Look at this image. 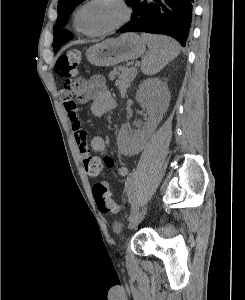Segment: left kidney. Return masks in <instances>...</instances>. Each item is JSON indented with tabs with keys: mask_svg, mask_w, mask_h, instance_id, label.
<instances>
[{
	"mask_svg": "<svg viewBox=\"0 0 245 300\" xmlns=\"http://www.w3.org/2000/svg\"><path fill=\"white\" fill-rule=\"evenodd\" d=\"M136 100L148 112L149 123L141 131L128 130L126 126L121 128L118 143L124 153H132L138 149L145 135L157 127L168 108L170 92L167 84L159 78H148L139 86Z\"/></svg>",
	"mask_w": 245,
	"mask_h": 300,
	"instance_id": "obj_1",
	"label": "left kidney"
}]
</instances>
